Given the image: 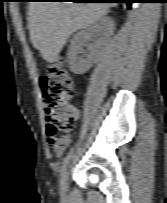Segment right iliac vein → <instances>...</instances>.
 <instances>
[{
	"label": "right iliac vein",
	"instance_id": "1",
	"mask_svg": "<svg viewBox=\"0 0 167 203\" xmlns=\"http://www.w3.org/2000/svg\"><path fill=\"white\" fill-rule=\"evenodd\" d=\"M68 192V172L62 175L60 183V194L61 196H66Z\"/></svg>",
	"mask_w": 167,
	"mask_h": 203
}]
</instances>
